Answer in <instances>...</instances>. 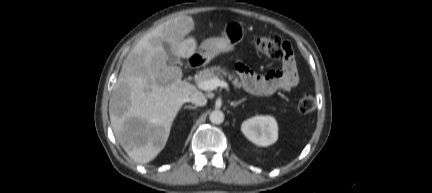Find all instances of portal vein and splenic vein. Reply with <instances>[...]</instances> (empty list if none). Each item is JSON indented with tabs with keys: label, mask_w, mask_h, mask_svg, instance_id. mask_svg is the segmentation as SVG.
<instances>
[{
	"label": "portal vein and splenic vein",
	"mask_w": 432,
	"mask_h": 193,
	"mask_svg": "<svg viewBox=\"0 0 432 193\" xmlns=\"http://www.w3.org/2000/svg\"><path fill=\"white\" fill-rule=\"evenodd\" d=\"M197 84H198L199 88H201L202 90H206V91L214 90L217 87H222V88H228L229 87L227 82L220 80L217 77L210 79V80L198 82Z\"/></svg>",
	"instance_id": "obj_1"
}]
</instances>
